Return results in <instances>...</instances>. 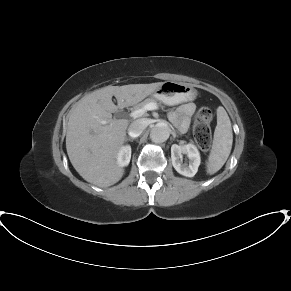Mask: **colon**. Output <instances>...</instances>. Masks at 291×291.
Returning a JSON list of instances; mask_svg holds the SVG:
<instances>
[{
  "label": "colon",
  "instance_id": "obj_1",
  "mask_svg": "<svg viewBox=\"0 0 291 291\" xmlns=\"http://www.w3.org/2000/svg\"><path fill=\"white\" fill-rule=\"evenodd\" d=\"M213 119V112L208 107H202L195 116L193 125V137L195 142L203 150H207L211 143V130L209 127Z\"/></svg>",
  "mask_w": 291,
  "mask_h": 291
}]
</instances>
